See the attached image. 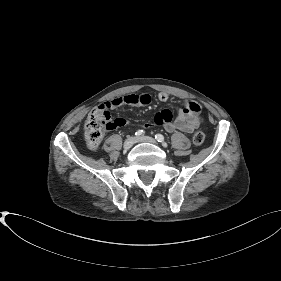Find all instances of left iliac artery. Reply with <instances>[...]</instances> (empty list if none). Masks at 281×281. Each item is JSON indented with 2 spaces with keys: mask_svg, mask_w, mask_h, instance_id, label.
Segmentation results:
<instances>
[{
  "mask_svg": "<svg viewBox=\"0 0 281 281\" xmlns=\"http://www.w3.org/2000/svg\"><path fill=\"white\" fill-rule=\"evenodd\" d=\"M155 139L158 141V142H163L164 141V136L162 134H156L155 135Z\"/></svg>",
  "mask_w": 281,
  "mask_h": 281,
  "instance_id": "left-iliac-artery-1",
  "label": "left iliac artery"
}]
</instances>
